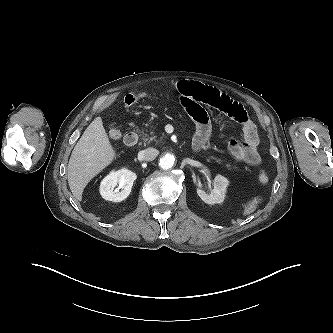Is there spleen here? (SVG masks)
<instances>
[{"instance_id": "3e777b00", "label": "spleen", "mask_w": 333, "mask_h": 333, "mask_svg": "<svg viewBox=\"0 0 333 333\" xmlns=\"http://www.w3.org/2000/svg\"><path fill=\"white\" fill-rule=\"evenodd\" d=\"M256 207H257V201L254 200L245 207L244 214L248 215V214L254 212Z\"/></svg>"}]
</instances>
